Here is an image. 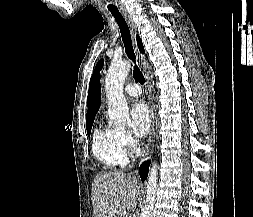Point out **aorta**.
Masks as SVG:
<instances>
[{"mask_svg":"<svg viewBox=\"0 0 253 217\" xmlns=\"http://www.w3.org/2000/svg\"><path fill=\"white\" fill-rule=\"evenodd\" d=\"M130 69L131 65L127 61L113 62L105 78L109 121L117 127H124L129 118V107L123 93V84ZM157 169L158 166L154 162L148 175L145 203L140 217H152L157 193Z\"/></svg>","mask_w":253,"mask_h":217,"instance_id":"1","label":"aorta"}]
</instances>
